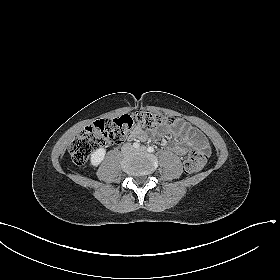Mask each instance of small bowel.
<instances>
[{"mask_svg": "<svg viewBox=\"0 0 280 280\" xmlns=\"http://www.w3.org/2000/svg\"><path fill=\"white\" fill-rule=\"evenodd\" d=\"M179 131L184 133V138L181 143H176L173 145L172 149L176 153L184 155L191 146L209 148L206 138L197 129H194L189 124L184 122L180 123ZM130 138L132 140H144L147 138V134L141 128L136 127L130 133Z\"/></svg>", "mask_w": 280, "mask_h": 280, "instance_id": "1", "label": "small bowel"}]
</instances>
